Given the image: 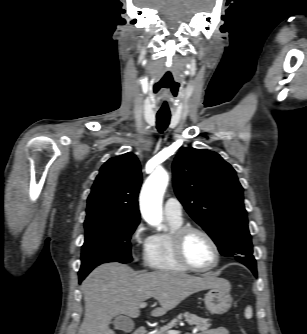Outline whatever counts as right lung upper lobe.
Returning <instances> with one entry per match:
<instances>
[{"label":"right lung upper lobe","instance_id":"cb5924a9","mask_svg":"<svg viewBox=\"0 0 307 334\" xmlns=\"http://www.w3.org/2000/svg\"><path fill=\"white\" fill-rule=\"evenodd\" d=\"M140 163L132 153L110 158L100 169L88 197L86 220L139 222Z\"/></svg>","mask_w":307,"mask_h":334}]
</instances>
